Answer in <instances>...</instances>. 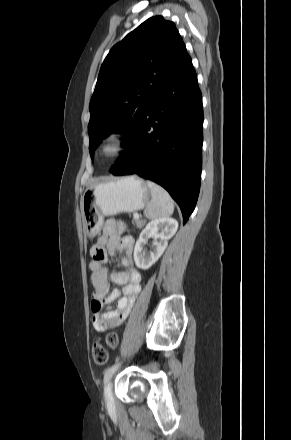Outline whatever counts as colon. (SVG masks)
Masks as SVG:
<instances>
[{
	"label": "colon",
	"instance_id": "1",
	"mask_svg": "<svg viewBox=\"0 0 291 440\" xmlns=\"http://www.w3.org/2000/svg\"><path fill=\"white\" fill-rule=\"evenodd\" d=\"M103 323L106 324L107 321L104 320ZM108 344L111 347H114V348L117 347L118 346V337L115 334H110L108 336ZM92 354H93V358L97 364L105 365L107 363L108 352L101 342H99V341L94 342L93 347H92Z\"/></svg>",
	"mask_w": 291,
	"mask_h": 440
}]
</instances>
